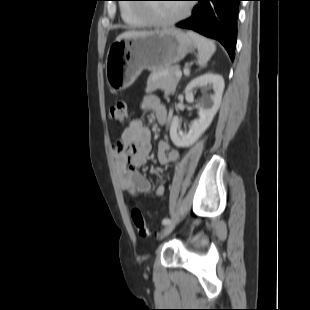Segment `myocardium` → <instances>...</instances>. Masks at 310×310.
<instances>
[{"label":"myocardium","mask_w":310,"mask_h":310,"mask_svg":"<svg viewBox=\"0 0 310 310\" xmlns=\"http://www.w3.org/2000/svg\"><path fill=\"white\" fill-rule=\"evenodd\" d=\"M136 12L139 16H143L147 18L148 24L152 26H157V27H165V26H171L179 21L183 20L186 18L190 12H191V4H188L187 6L184 7L183 11L177 15L174 18L171 19H160L151 14V12H148V14L145 16L144 11L142 9H136Z\"/></svg>","instance_id":"obj_1"}]
</instances>
